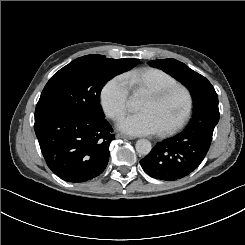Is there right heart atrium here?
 Returning <instances> with one entry per match:
<instances>
[{
  "instance_id": "d8ad5b80",
  "label": "right heart atrium",
  "mask_w": 245,
  "mask_h": 245,
  "mask_svg": "<svg viewBox=\"0 0 245 245\" xmlns=\"http://www.w3.org/2000/svg\"><path fill=\"white\" fill-rule=\"evenodd\" d=\"M130 89L120 77L108 80L100 92L104 112L113 120L120 119L127 110Z\"/></svg>"
}]
</instances>
